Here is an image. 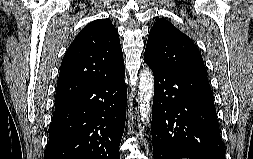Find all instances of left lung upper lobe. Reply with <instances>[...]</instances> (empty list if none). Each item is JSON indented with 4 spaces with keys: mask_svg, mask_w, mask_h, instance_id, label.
I'll return each mask as SVG.
<instances>
[{
    "mask_svg": "<svg viewBox=\"0 0 253 159\" xmlns=\"http://www.w3.org/2000/svg\"><path fill=\"white\" fill-rule=\"evenodd\" d=\"M144 60L156 68L207 75L194 42L165 19L157 20L150 30Z\"/></svg>",
    "mask_w": 253,
    "mask_h": 159,
    "instance_id": "1",
    "label": "left lung upper lobe"
}]
</instances>
